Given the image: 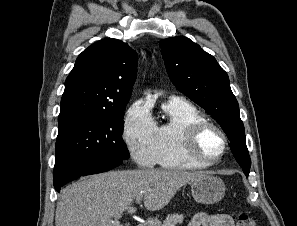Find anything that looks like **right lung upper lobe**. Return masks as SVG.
<instances>
[{
  "label": "right lung upper lobe",
  "instance_id": "right-lung-upper-lobe-1",
  "mask_svg": "<svg viewBox=\"0 0 297 226\" xmlns=\"http://www.w3.org/2000/svg\"><path fill=\"white\" fill-rule=\"evenodd\" d=\"M137 75V54L127 43L102 39L84 50L65 81L58 120L124 112Z\"/></svg>",
  "mask_w": 297,
  "mask_h": 226
}]
</instances>
